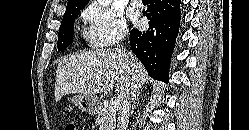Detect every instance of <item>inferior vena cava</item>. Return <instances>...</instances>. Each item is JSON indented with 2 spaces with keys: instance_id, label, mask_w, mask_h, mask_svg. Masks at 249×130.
Here are the masks:
<instances>
[{
  "instance_id": "1",
  "label": "inferior vena cava",
  "mask_w": 249,
  "mask_h": 130,
  "mask_svg": "<svg viewBox=\"0 0 249 130\" xmlns=\"http://www.w3.org/2000/svg\"><path fill=\"white\" fill-rule=\"evenodd\" d=\"M123 52L128 58H130L132 55L129 51H126L125 49ZM139 88H140V85L136 77L133 76L132 81L130 82L129 89L127 90L124 96V99L122 101V111L118 118L117 130H127L131 106H132V103H134V100L136 98Z\"/></svg>"
}]
</instances>
